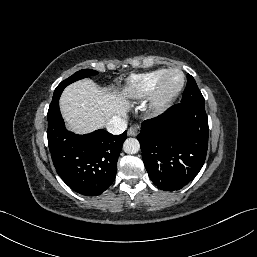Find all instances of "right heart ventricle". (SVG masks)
<instances>
[{
  "mask_svg": "<svg viewBox=\"0 0 257 257\" xmlns=\"http://www.w3.org/2000/svg\"><path fill=\"white\" fill-rule=\"evenodd\" d=\"M167 69H158L131 77L124 86L122 93L128 100H142L151 95L160 78Z\"/></svg>",
  "mask_w": 257,
  "mask_h": 257,
  "instance_id": "obj_1",
  "label": "right heart ventricle"
}]
</instances>
